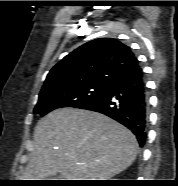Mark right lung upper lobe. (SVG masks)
I'll return each mask as SVG.
<instances>
[{
	"label": "right lung upper lobe",
	"mask_w": 178,
	"mask_h": 186,
	"mask_svg": "<svg viewBox=\"0 0 178 186\" xmlns=\"http://www.w3.org/2000/svg\"><path fill=\"white\" fill-rule=\"evenodd\" d=\"M131 49L112 38L95 39L65 56L48 73L41 92L89 83L111 84L139 70Z\"/></svg>",
	"instance_id": "1"
}]
</instances>
